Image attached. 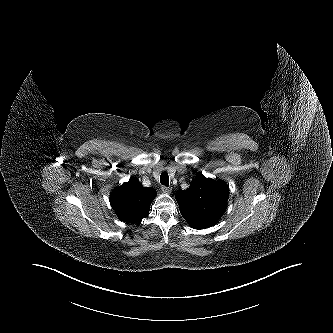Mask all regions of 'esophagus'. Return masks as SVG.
<instances>
[{
	"mask_svg": "<svg viewBox=\"0 0 333 333\" xmlns=\"http://www.w3.org/2000/svg\"><path fill=\"white\" fill-rule=\"evenodd\" d=\"M161 190H162L164 193H166V194H170L171 191H172V189H171L170 187L165 186V185H163V186L161 187Z\"/></svg>",
	"mask_w": 333,
	"mask_h": 333,
	"instance_id": "34e87169",
	"label": "esophagus"
}]
</instances>
